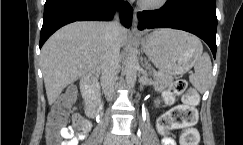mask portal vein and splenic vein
I'll return each instance as SVG.
<instances>
[{
	"mask_svg": "<svg viewBox=\"0 0 243 145\" xmlns=\"http://www.w3.org/2000/svg\"><path fill=\"white\" fill-rule=\"evenodd\" d=\"M161 73H154V76H158V75H160Z\"/></svg>",
	"mask_w": 243,
	"mask_h": 145,
	"instance_id": "obj_1",
	"label": "portal vein and splenic vein"
}]
</instances>
